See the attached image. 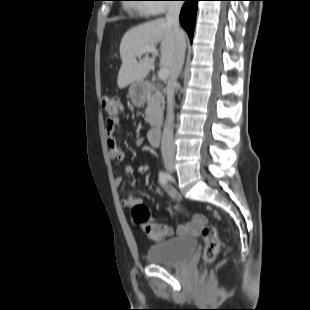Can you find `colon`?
Returning a JSON list of instances; mask_svg holds the SVG:
<instances>
[{"instance_id": "colon-1", "label": "colon", "mask_w": 310, "mask_h": 310, "mask_svg": "<svg viewBox=\"0 0 310 310\" xmlns=\"http://www.w3.org/2000/svg\"><path fill=\"white\" fill-rule=\"evenodd\" d=\"M101 106L107 116L108 125H116L118 115L122 110V104L119 99L112 96H105L102 98ZM131 214L134 222L139 225L147 224L151 220L150 211L143 204L134 205ZM201 234L204 241V260L206 262H212L216 259L220 250V239L217 228L214 225L204 224Z\"/></svg>"}]
</instances>
